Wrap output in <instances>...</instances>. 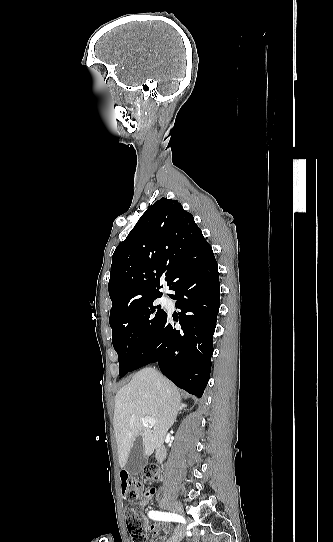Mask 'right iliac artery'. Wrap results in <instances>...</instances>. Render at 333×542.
Masks as SVG:
<instances>
[{"label": "right iliac artery", "mask_w": 333, "mask_h": 542, "mask_svg": "<svg viewBox=\"0 0 333 542\" xmlns=\"http://www.w3.org/2000/svg\"><path fill=\"white\" fill-rule=\"evenodd\" d=\"M148 516L154 520L175 521V522H183V523L185 522L182 516L177 515V514L167 513V512L150 511L148 513Z\"/></svg>", "instance_id": "obj_1"}]
</instances>
